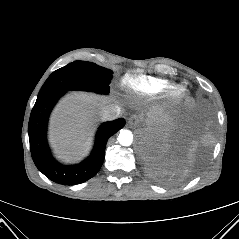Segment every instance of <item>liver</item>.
<instances>
[{
    "mask_svg": "<svg viewBox=\"0 0 239 239\" xmlns=\"http://www.w3.org/2000/svg\"><path fill=\"white\" fill-rule=\"evenodd\" d=\"M117 105L112 96L73 92L57 104L50 118L49 141L58 158L76 161L88 151L101 111Z\"/></svg>",
    "mask_w": 239,
    "mask_h": 239,
    "instance_id": "liver-1",
    "label": "liver"
}]
</instances>
